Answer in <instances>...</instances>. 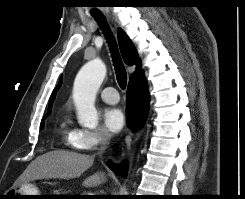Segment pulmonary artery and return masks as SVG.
<instances>
[{
    "instance_id": "1",
    "label": "pulmonary artery",
    "mask_w": 245,
    "mask_h": 199,
    "mask_svg": "<svg viewBox=\"0 0 245 199\" xmlns=\"http://www.w3.org/2000/svg\"><path fill=\"white\" fill-rule=\"evenodd\" d=\"M103 101L109 104H116L119 101V95L115 88L106 87L100 92Z\"/></svg>"
}]
</instances>
